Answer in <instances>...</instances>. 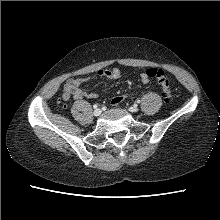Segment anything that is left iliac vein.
Listing matches in <instances>:
<instances>
[{
  "instance_id": "1",
  "label": "left iliac vein",
  "mask_w": 220,
  "mask_h": 220,
  "mask_svg": "<svg viewBox=\"0 0 220 220\" xmlns=\"http://www.w3.org/2000/svg\"><path fill=\"white\" fill-rule=\"evenodd\" d=\"M129 111L135 113V112L138 111V107H137L136 105H133V106H131V107L129 108Z\"/></svg>"
}]
</instances>
